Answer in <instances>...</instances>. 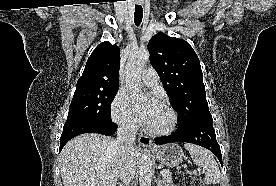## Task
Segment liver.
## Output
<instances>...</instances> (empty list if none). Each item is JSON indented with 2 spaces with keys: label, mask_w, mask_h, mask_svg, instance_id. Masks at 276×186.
I'll return each instance as SVG.
<instances>
[{
  "label": "liver",
  "mask_w": 276,
  "mask_h": 186,
  "mask_svg": "<svg viewBox=\"0 0 276 186\" xmlns=\"http://www.w3.org/2000/svg\"><path fill=\"white\" fill-rule=\"evenodd\" d=\"M131 155L136 162L139 152L135 147ZM120 166L115 141L95 133L71 139L59 157L63 186H116Z\"/></svg>",
  "instance_id": "obj_1"
}]
</instances>
